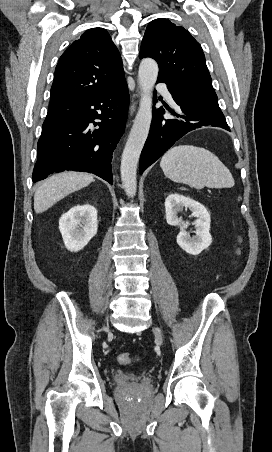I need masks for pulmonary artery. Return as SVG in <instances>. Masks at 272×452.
Listing matches in <instances>:
<instances>
[{
  "label": "pulmonary artery",
  "instance_id": "1",
  "mask_svg": "<svg viewBox=\"0 0 272 452\" xmlns=\"http://www.w3.org/2000/svg\"><path fill=\"white\" fill-rule=\"evenodd\" d=\"M155 89H156L157 91L162 92V93L165 95L166 98H168V99L171 98L170 93H169V91L166 89L164 83L158 82V83L155 85Z\"/></svg>",
  "mask_w": 272,
  "mask_h": 452
}]
</instances>
